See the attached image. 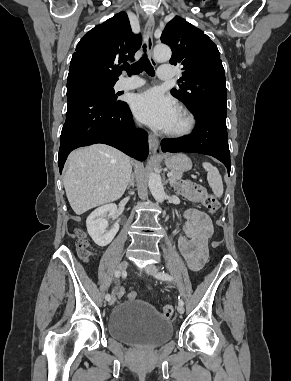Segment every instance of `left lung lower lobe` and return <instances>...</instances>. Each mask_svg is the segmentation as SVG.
<instances>
[{"label": "left lung lower lobe", "instance_id": "1", "mask_svg": "<svg viewBox=\"0 0 291 381\" xmlns=\"http://www.w3.org/2000/svg\"><path fill=\"white\" fill-rule=\"evenodd\" d=\"M193 114L196 118V128L193 133L182 138L163 139L160 150L162 152H194L213 156L227 167L230 174L226 111L202 109Z\"/></svg>", "mask_w": 291, "mask_h": 381}]
</instances>
